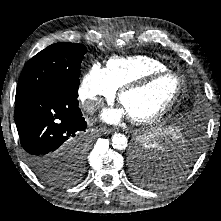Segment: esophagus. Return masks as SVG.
<instances>
[{"instance_id":"34e87169","label":"esophagus","mask_w":221,"mask_h":221,"mask_svg":"<svg viewBox=\"0 0 221 221\" xmlns=\"http://www.w3.org/2000/svg\"><path fill=\"white\" fill-rule=\"evenodd\" d=\"M100 131H101L102 133H104V134H109V133H112V132H113L112 129L107 128V127H101V128H100Z\"/></svg>"}]
</instances>
